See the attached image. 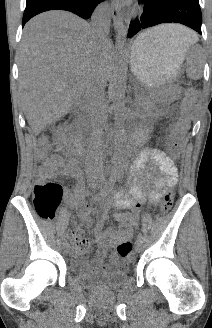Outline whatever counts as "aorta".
<instances>
[{
    "label": "aorta",
    "mask_w": 212,
    "mask_h": 328,
    "mask_svg": "<svg viewBox=\"0 0 212 328\" xmlns=\"http://www.w3.org/2000/svg\"><path fill=\"white\" fill-rule=\"evenodd\" d=\"M126 26H122L118 31L116 39V62L113 76V111L115 121V140L117 142V150L113 154V167L111 168V180H121L125 175L122 167L123 159L120 147L125 139V91L127 79V59H126Z\"/></svg>",
    "instance_id": "aorta-1"
}]
</instances>
